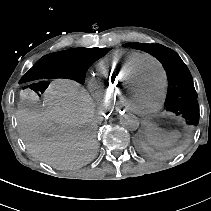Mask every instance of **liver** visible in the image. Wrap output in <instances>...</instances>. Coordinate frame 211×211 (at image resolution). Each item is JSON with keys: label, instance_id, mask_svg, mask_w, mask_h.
<instances>
[{"label": "liver", "instance_id": "liver-1", "mask_svg": "<svg viewBox=\"0 0 211 211\" xmlns=\"http://www.w3.org/2000/svg\"><path fill=\"white\" fill-rule=\"evenodd\" d=\"M42 110H18V132L29 152L57 169L86 165L96 156L98 141L94 104L75 81L50 83Z\"/></svg>", "mask_w": 211, "mask_h": 211}]
</instances>
